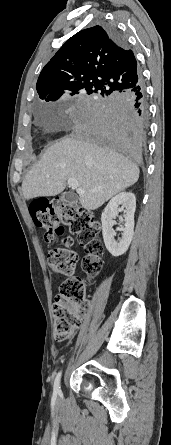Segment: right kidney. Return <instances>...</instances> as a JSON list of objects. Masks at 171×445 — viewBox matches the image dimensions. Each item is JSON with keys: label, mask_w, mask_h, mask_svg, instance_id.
Listing matches in <instances>:
<instances>
[{"label": "right kidney", "mask_w": 171, "mask_h": 445, "mask_svg": "<svg viewBox=\"0 0 171 445\" xmlns=\"http://www.w3.org/2000/svg\"><path fill=\"white\" fill-rule=\"evenodd\" d=\"M124 208L123 216H120L122 237L119 241L114 239L115 231L113 230V219L118 216L119 206ZM136 209V198L132 192H120L114 196L107 204L101 216L102 234L105 246L112 256L118 257L123 255L129 248L134 234V213Z\"/></svg>", "instance_id": "1"}]
</instances>
